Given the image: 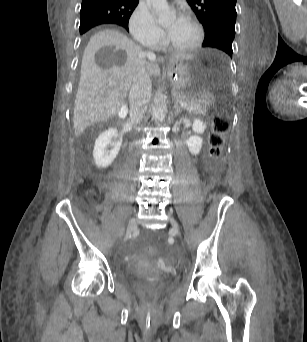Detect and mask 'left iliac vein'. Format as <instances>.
<instances>
[{"label":"left iliac vein","mask_w":307,"mask_h":342,"mask_svg":"<svg viewBox=\"0 0 307 342\" xmlns=\"http://www.w3.org/2000/svg\"><path fill=\"white\" fill-rule=\"evenodd\" d=\"M169 221L171 223V226H172V232L175 234V235H179V225L177 224L176 220L169 216Z\"/></svg>","instance_id":"left-iliac-vein-1"}]
</instances>
